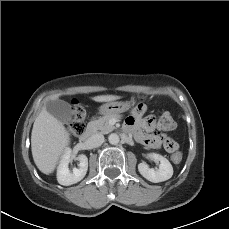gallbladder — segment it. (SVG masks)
<instances>
[{
  "mask_svg": "<svg viewBox=\"0 0 229 229\" xmlns=\"http://www.w3.org/2000/svg\"><path fill=\"white\" fill-rule=\"evenodd\" d=\"M47 111L62 123H68L72 120V107L63 100L49 101Z\"/></svg>",
  "mask_w": 229,
  "mask_h": 229,
  "instance_id": "gallbladder-1",
  "label": "gallbladder"
}]
</instances>
